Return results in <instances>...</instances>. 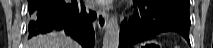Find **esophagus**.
<instances>
[{"label": "esophagus", "mask_w": 213, "mask_h": 48, "mask_svg": "<svg viewBox=\"0 0 213 48\" xmlns=\"http://www.w3.org/2000/svg\"><path fill=\"white\" fill-rule=\"evenodd\" d=\"M108 21V13L104 10H99L97 13V23L100 31H103Z\"/></svg>", "instance_id": "1"}]
</instances>
